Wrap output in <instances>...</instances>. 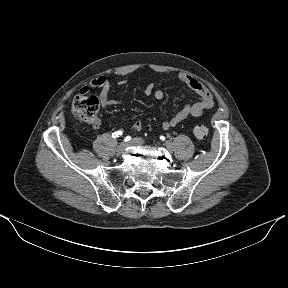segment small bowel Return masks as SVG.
<instances>
[{
    "label": "small bowel",
    "mask_w": 288,
    "mask_h": 288,
    "mask_svg": "<svg viewBox=\"0 0 288 288\" xmlns=\"http://www.w3.org/2000/svg\"><path fill=\"white\" fill-rule=\"evenodd\" d=\"M178 80L191 88L196 94L199 95V101L185 105L179 111H177L169 120H166L162 123V128L164 130L170 129L172 127L177 126L179 123L191 118V117H199L201 116L205 110L210 109L214 105V98L211 94L210 90L201 82L196 80L190 75L180 74L178 76ZM120 86H126L128 81L122 79L118 82ZM110 81L108 78L101 76L96 79H93L90 83L84 85L80 89V94H88L91 89L98 88L100 89L99 93V102L103 109H108L112 105L122 104L123 101L121 99L111 98L109 96L110 92ZM144 94L149 96L153 95L156 100H162L164 98V92L160 89H155L154 84H148L144 89ZM125 120V117L123 118ZM100 125V120L98 119L93 127H98ZM130 129L133 132H138L142 129V124L139 121H136L130 125Z\"/></svg>",
    "instance_id": "small-bowel-1"
}]
</instances>
